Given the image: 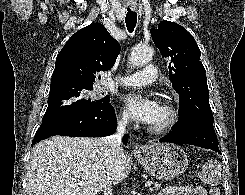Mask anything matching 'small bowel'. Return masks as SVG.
Instances as JSON below:
<instances>
[{
  "mask_svg": "<svg viewBox=\"0 0 245 195\" xmlns=\"http://www.w3.org/2000/svg\"><path fill=\"white\" fill-rule=\"evenodd\" d=\"M159 195H208L206 188L196 187H167Z\"/></svg>",
  "mask_w": 245,
  "mask_h": 195,
  "instance_id": "1",
  "label": "small bowel"
}]
</instances>
